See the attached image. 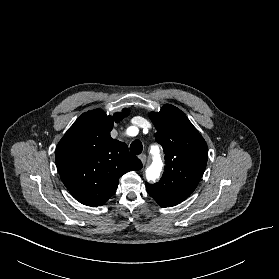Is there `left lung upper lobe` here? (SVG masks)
I'll list each match as a JSON object with an SVG mask.
<instances>
[{
    "label": "left lung upper lobe",
    "instance_id": "obj_1",
    "mask_svg": "<svg viewBox=\"0 0 279 279\" xmlns=\"http://www.w3.org/2000/svg\"><path fill=\"white\" fill-rule=\"evenodd\" d=\"M150 118L156 127V141L165 153V172L161 180L146 183L148 194L163 207L175 206L197 187L207 165L205 140L186 115L173 105H165Z\"/></svg>",
    "mask_w": 279,
    "mask_h": 279
}]
</instances>
